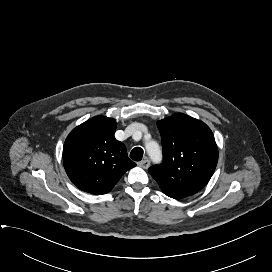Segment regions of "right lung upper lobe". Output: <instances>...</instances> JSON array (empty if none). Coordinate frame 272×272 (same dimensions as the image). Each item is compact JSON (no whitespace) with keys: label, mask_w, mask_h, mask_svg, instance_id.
<instances>
[{"label":"right lung upper lobe","mask_w":272,"mask_h":272,"mask_svg":"<svg viewBox=\"0 0 272 272\" xmlns=\"http://www.w3.org/2000/svg\"><path fill=\"white\" fill-rule=\"evenodd\" d=\"M116 121L93 117L74 128L65 140L63 163L70 180L82 191L108 193L136 164L114 137Z\"/></svg>","instance_id":"1"}]
</instances>
